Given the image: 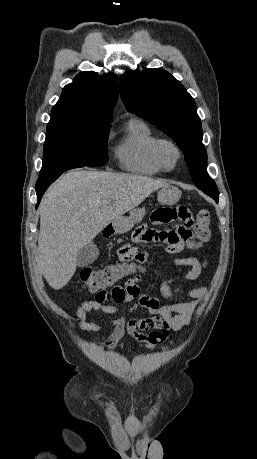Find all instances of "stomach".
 I'll return each mask as SVG.
<instances>
[{"mask_svg":"<svg viewBox=\"0 0 257 459\" xmlns=\"http://www.w3.org/2000/svg\"><path fill=\"white\" fill-rule=\"evenodd\" d=\"M181 196V191L172 185L165 186L158 191L159 203L165 205L175 204ZM145 216V208H134L130 210L129 216H121L111 223L113 233L124 234L132 229L134 224L140 223Z\"/></svg>","mask_w":257,"mask_h":459,"instance_id":"0dacf381","label":"stomach"}]
</instances>
